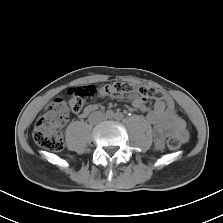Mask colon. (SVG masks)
Returning <instances> with one entry per match:
<instances>
[{"label": "colon", "instance_id": "5ec220e1", "mask_svg": "<svg viewBox=\"0 0 223 223\" xmlns=\"http://www.w3.org/2000/svg\"><path fill=\"white\" fill-rule=\"evenodd\" d=\"M96 88L91 85L73 88L70 91L69 103L64 100H56L48 110L39 116L33 127V140L43 149L58 152L63 149L64 140L62 128L68 121L69 111L80 112L87 99L93 97ZM100 96H120L124 94L136 95L142 100L162 99L168 110H173L175 101L162 90L145 85H136L130 82L118 81L106 84L99 89ZM181 140L172 136L167 140V146L171 150H177Z\"/></svg>", "mask_w": 223, "mask_h": 223}]
</instances>
